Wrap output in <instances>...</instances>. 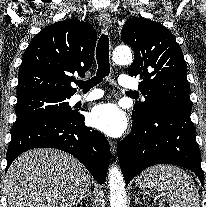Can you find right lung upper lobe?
I'll use <instances>...</instances> for the list:
<instances>
[{"label":"right lung upper lobe","mask_w":206,"mask_h":207,"mask_svg":"<svg viewBox=\"0 0 206 207\" xmlns=\"http://www.w3.org/2000/svg\"><path fill=\"white\" fill-rule=\"evenodd\" d=\"M96 31L76 19L45 27L25 50L18 74L17 99L35 94L73 95L72 76L92 66Z\"/></svg>","instance_id":"right-lung-upper-lobe-1"}]
</instances>
